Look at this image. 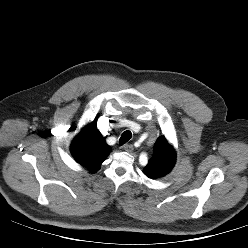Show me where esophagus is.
<instances>
[{"instance_id": "obj_1", "label": "esophagus", "mask_w": 248, "mask_h": 248, "mask_svg": "<svg viewBox=\"0 0 248 248\" xmlns=\"http://www.w3.org/2000/svg\"><path fill=\"white\" fill-rule=\"evenodd\" d=\"M122 148H123V150H125L127 152H132L134 149L131 144H125Z\"/></svg>"}]
</instances>
